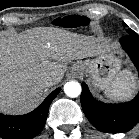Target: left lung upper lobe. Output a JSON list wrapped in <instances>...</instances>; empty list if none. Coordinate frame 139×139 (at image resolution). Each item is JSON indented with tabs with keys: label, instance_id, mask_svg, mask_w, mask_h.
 Segmentation results:
<instances>
[{
	"label": "left lung upper lobe",
	"instance_id": "left-lung-upper-lobe-1",
	"mask_svg": "<svg viewBox=\"0 0 139 139\" xmlns=\"http://www.w3.org/2000/svg\"><path fill=\"white\" fill-rule=\"evenodd\" d=\"M124 26L127 27V25L125 23H123ZM131 29H127V32L129 33Z\"/></svg>",
	"mask_w": 139,
	"mask_h": 139
}]
</instances>
